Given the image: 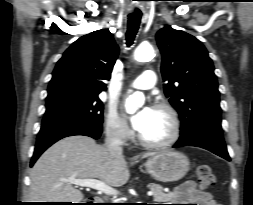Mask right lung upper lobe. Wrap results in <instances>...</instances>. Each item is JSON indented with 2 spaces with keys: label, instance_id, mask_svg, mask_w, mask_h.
Returning a JSON list of instances; mask_svg holds the SVG:
<instances>
[{
  "label": "right lung upper lobe",
  "instance_id": "1",
  "mask_svg": "<svg viewBox=\"0 0 253 205\" xmlns=\"http://www.w3.org/2000/svg\"><path fill=\"white\" fill-rule=\"evenodd\" d=\"M119 49L108 29L75 41L58 61L48 86L47 101L72 95H99L106 90Z\"/></svg>",
  "mask_w": 253,
  "mask_h": 205
}]
</instances>
